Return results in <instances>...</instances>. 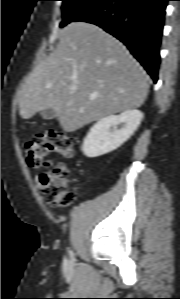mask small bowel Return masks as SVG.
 <instances>
[{
	"mask_svg": "<svg viewBox=\"0 0 180 299\" xmlns=\"http://www.w3.org/2000/svg\"><path fill=\"white\" fill-rule=\"evenodd\" d=\"M53 163V160H50V161H48L45 165L46 166H49V165H51Z\"/></svg>",
	"mask_w": 180,
	"mask_h": 299,
	"instance_id": "1",
	"label": "small bowel"
}]
</instances>
